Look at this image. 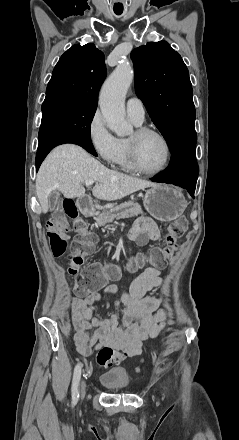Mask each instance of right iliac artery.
Returning a JSON list of instances; mask_svg holds the SVG:
<instances>
[{
    "label": "right iliac artery",
    "mask_w": 239,
    "mask_h": 440,
    "mask_svg": "<svg viewBox=\"0 0 239 440\" xmlns=\"http://www.w3.org/2000/svg\"><path fill=\"white\" fill-rule=\"evenodd\" d=\"M81 367H82V365L79 363L76 365V367L74 369L73 381H72V403H73V405H75L79 399L78 386H79V381H80V377H81Z\"/></svg>",
    "instance_id": "obj_1"
}]
</instances>
